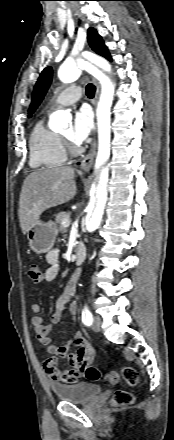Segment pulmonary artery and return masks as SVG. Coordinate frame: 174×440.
Returning <instances> with one entry per match:
<instances>
[{"label":"pulmonary artery","instance_id":"1","mask_svg":"<svg viewBox=\"0 0 174 440\" xmlns=\"http://www.w3.org/2000/svg\"><path fill=\"white\" fill-rule=\"evenodd\" d=\"M83 94V89L80 86H72L65 89L53 101L51 107H61L75 103Z\"/></svg>","mask_w":174,"mask_h":440}]
</instances>
